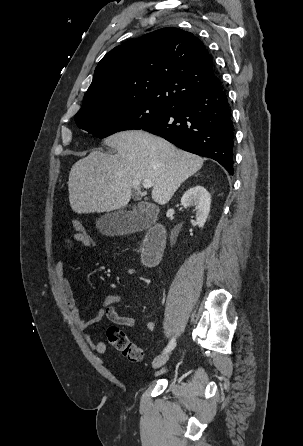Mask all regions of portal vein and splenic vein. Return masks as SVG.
Instances as JSON below:
<instances>
[{
    "label": "portal vein and splenic vein",
    "mask_w": 303,
    "mask_h": 446,
    "mask_svg": "<svg viewBox=\"0 0 303 446\" xmlns=\"http://www.w3.org/2000/svg\"><path fill=\"white\" fill-rule=\"evenodd\" d=\"M134 185H135V186H139V185H140V182H134ZM142 186H143L145 189H148V188H151V187L153 186V183H152L151 180H144V181L142 182Z\"/></svg>",
    "instance_id": "portal-vein-and-splenic-vein-1"
}]
</instances>
